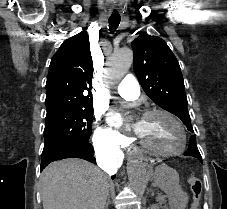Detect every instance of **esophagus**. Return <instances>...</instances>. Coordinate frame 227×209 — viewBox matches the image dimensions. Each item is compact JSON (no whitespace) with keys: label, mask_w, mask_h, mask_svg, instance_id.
I'll return each instance as SVG.
<instances>
[{"label":"esophagus","mask_w":227,"mask_h":209,"mask_svg":"<svg viewBox=\"0 0 227 209\" xmlns=\"http://www.w3.org/2000/svg\"><path fill=\"white\" fill-rule=\"evenodd\" d=\"M149 158H151V155H148V157H146V159L142 160V163L144 164L145 169H150L151 167L155 166V163L151 162V160Z\"/></svg>","instance_id":"esophagus-1"}]
</instances>
